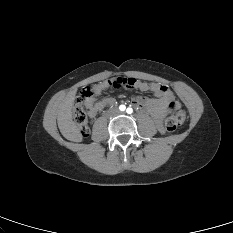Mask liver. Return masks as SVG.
I'll return each mask as SVG.
<instances>
[{"label":"liver","instance_id":"1","mask_svg":"<svg viewBox=\"0 0 233 233\" xmlns=\"http://www.w3.org/2000/svg\"><path fill=\"white\" fill-rule=\"evenodd\" d=\"M76 95V90L69 92L58 107L57 123L61 134L69 139H74L78 134V128L73 121L72 107Z\"/></svg>","mask_w":233,"mask_h":233}]
</instances>
